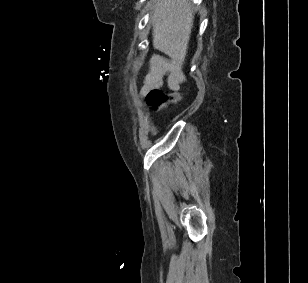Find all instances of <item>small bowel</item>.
<instances>
[{"instance_id": "small-bowel-1", "label": "small bowel", "mask_w": 308, "mask_h": 283, "mask_svg": "<svg viewBox=\"0 0 308 283\" xmlns=\"http://www.w3.org/2000/svg\"><path fill=\"white\" fill-rule=\"evenodd\" d=\"M176 66L163 58H154L150 63V68L143 79L140 90L141 95H146L150 90L159 89L163 84L164 76L167 72H175Z\"/></svg>"}]
</instances>
